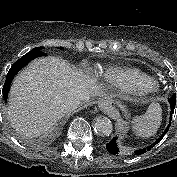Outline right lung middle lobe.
<instances>
[{
    "label": "right lung middle lobe",
    "instance_id": "1",
    "mask_svg": "<svg viewBox=\"0 0 177 177\" xmlns=\"http://www.w3.org/2000/svg\"><path fill=\"white\" fill-rule=\"evenodd\" d=\"M42 49H43V47H37V48H34L33 50L41 51Z\"/></svg>",
    "mask_w": 177,
    "mask_h": 177
}]
</instances>
